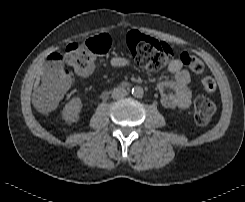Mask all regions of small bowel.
Masks as SVG:
<instances>
[{
  "label": "small bowel",
  "mask_w": 245,
  "mask_h": 202,
  "mask_svg": "<svg viewBox=\"0 0 245 202\" xmlns=\"http://www.w3.org/2000/svg\"><path fill=\"white\" fill-rule=\"evenodd\" d=\"M130 64L128 58L123 56H114L110 59V65L116 68L126 67ZM96 70L95 65L90 66L82 75L87 76ZM168 71L174 75L172 79H162L159 81V88L161 90L172 89L170 92H164L161 97L162 105L168 109L187 108L191 104L192 87L190 72L184 68L180 58L173 59L168 65ZM37 98L40 100L39 90ZM40 112H45L39 103Z\"/></svg>",
  "instance_id": "obj_1"
}]
</instances>
